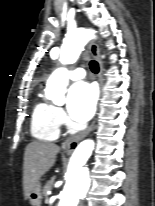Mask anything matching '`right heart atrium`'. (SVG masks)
Returning <instances> with one entry per match:
<instances>
[{"instance_id":"1","label":"right heart atrium","mask_w":155,"mask_h":206,"mask_svg":"<svg viewBox=\"0 0 155 206\" xmlns=\"http://www.w3.org/2000/svg\"><path fill=\"white\" fill-rule=\"evenodd\" d=\"M54 113H55L56 120L60 126L67 124V117L62 108L54 107Z\"/></svg>"}]
</instances>
